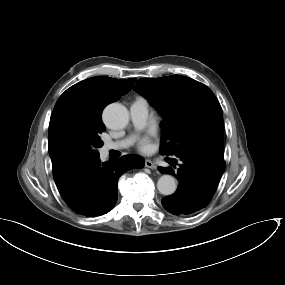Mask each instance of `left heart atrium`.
I'll use <instances>...</instances> for the list:
<instances>
[{
    "label": "left heart atrium",
    "mask_w": 285,
    "mask_h": 285,
    "mask_svg": "<svg viewBox=\"0 0 285 285\" xmlns=\"http://www.w3.org/2000/svg\"><path fill=\"white\" fill-rule=\"evenodd\" d=\"M150 147V138L148 136L142 137L138 141V148L141 151H147Z\"/></svg>",
    "instance_id": "1"
}]
</instances>
